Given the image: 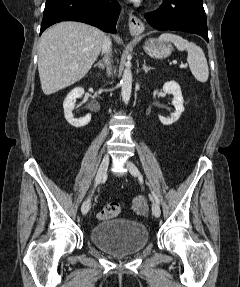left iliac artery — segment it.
<instances>
[{
    "mask_svg": "<svg viewBox=\"0 0 240 287\" xmlns=\"http://www.w3.org/2000/svg\"><path fill=\"white\" fill-rule=\"evenodd\" d=\"M152 194H153V196H154L156 202L159 204V199H158V197L156 196V194H155L153 191H152Z\"/></svg>",
    "mask_w": 240,
    "mask_h": 287,
    "instance_id": "left-iliac-artery-1",
    "label": "left iliac artery"
}]
</instances>
